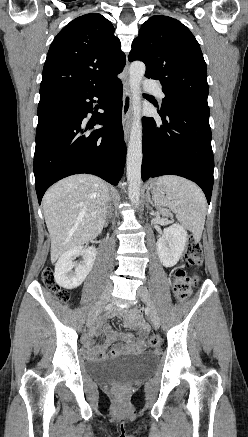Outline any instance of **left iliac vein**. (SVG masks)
<instances>
[{
  "mask_svg": "<svg viewBox=\"0 0 248 437\" xmlns=\"http://www.w3.org/2000/svg\"><path fill=\"white\" fill-rule=\"evenodd\" d=\"M137 296L147 305L150 321L155 328H158L160 325L159 315L147 288L140 286L137 290Z\"/></svg>",
  "mask_w": 248,
  "mask_h": 437,
  "instance_id": "obj_1",
  "label": "left iliac vein"
}]
</instances>
